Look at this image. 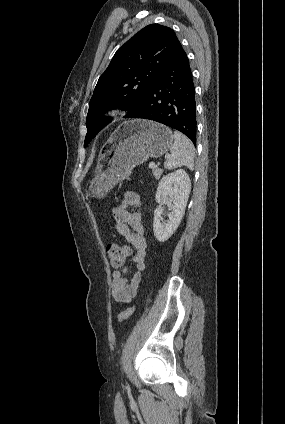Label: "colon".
I'll return each instance as SVG.
<instances>
[{
  "instance_id": "1",
  "label": "colon",
  "mask_w": 285,
  "mask_h": 424,
  "mask_svg": "<svg viewBox=\"0 0 285 424\" xmlns=\"http://www.w3.org/2000/svg\"><path fill=\"white\" fill-rule=\"evenodd\" d=\"M108 258L114 266H120L128 255V247L118 244H109L106 248ZM134 308L129 307L119 314V321H126L133 313Z\"/></svg>"
}]
</instances>
